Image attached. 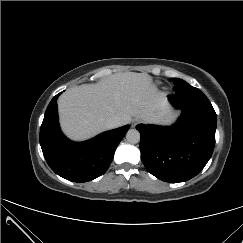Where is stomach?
<instances>
[{
    "instance_id": "stomach-1",
    "label": "stomach",
    "mask_w": 243,
    "mask_h": 243,
    "mask_svg": "<svg viewBox=\"0 0 243 243\" xmlns=\"http://www.w3.org/2000/svg\"><path fill=\"white\" fill-rule=\"evenodd\" d=\"M173 118H174L173 115L167 113L159 121L162 122V123H169L170 121L173 120Z\"/></svg>"
}]
</instances>
